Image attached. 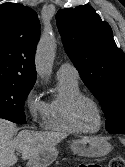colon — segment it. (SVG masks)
<instances>
[{"label": "colon", "mask_w": 125, "mask_h": 167, "mask_svg": "<svg viewBox=\"0 0 125 167\" xmlns=\"http://www.w3.org/2000/svg\"><path fill=\"white\" fill-rule=\"evenodd\" d=\"M80 167H95L94 165H81ZM109 167H125V157L116 156L114 157L109 164Z\"/></svg>", "instance_id": "colon-1"}]
</instances>
